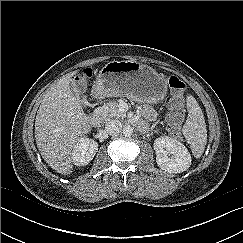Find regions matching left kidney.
Here are the masks:
<instances>
[{
    "instance_id": "obj_1",
    "label": "left kidney",
    "mask_w": 243,
    "mask_h": 243,
    "mask_svg": "<svg viewBox=\"0 0 243 243\" xmlns=\"http://www.w3.org/2000/svg\"><path fill=\"white\" fill-rule=\"evenodd\" d=\"M154 150L158 166L169 173H181L191 165V155L187 148L171 137L156 138Z\"/></svg>"
}]
</instances>
